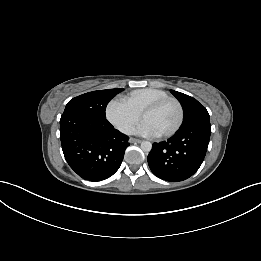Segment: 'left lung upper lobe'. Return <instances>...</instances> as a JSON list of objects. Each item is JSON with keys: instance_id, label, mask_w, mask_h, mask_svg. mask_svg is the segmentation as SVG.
<instances>
[{"instance_id": "1", "label": "left lung upper lobe", "mask_w": 261, "mask_h": 261, "mask_svg": "<svg viewBox=\"0 0 261 261\" xmlns=\"http://www.w3.org/2000/svg\"><path fill=\"white\" fill-rule=\"evenodd\" d=\"M171 93L179 100L184 111L182 127L198 122H209V113L196 99L186 94L171 90Z\"/></svg>"}]
</instances>
